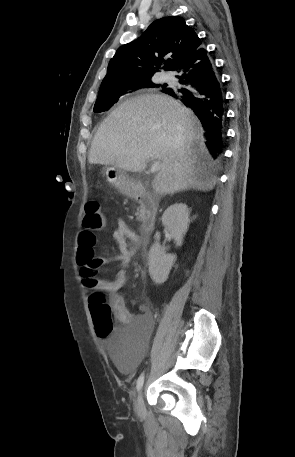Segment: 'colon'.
I'll return each instance as SVG.
<instances>
[{
	"mask_svg": "<svg viewBox=\"0 0 295 457\" xmlns=\"http://www.w3.org/2000/svg\"><path fill=\"white\" fill-rule=\"evenodd\" d=\"M107 220L102 204L97 199H91L86 203L83 226L89 230H102L106 227ZM80 275L86 281H93L96 269L92 263L85 259L79 260ZM90 310L96 333L101 338L109 336L113 329L111 308L106 303L100 292H95L90 297Z\"/></svg>",
	"mask_w": 295,
	"mask_h": 457,
	"instance_id": "obj_1",
	"label": "colon"
}]
</instances>
